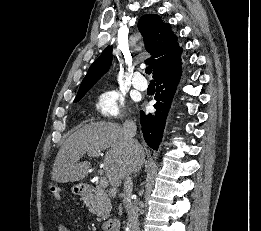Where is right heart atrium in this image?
I'll return each instance as SVG.
<instances>
[{
    "label": "right heart atrium",
    "instance_id": "obj_1",
    "mask_svg": "<svg viewBox=\"0 0 261 231\" xmlns=\"http://www.w3.org/2000/svg\"><path fill=\"white\" fill-rule=\"evenodd\" d=\"M94 107L97 114L105 119L123 118L125 114V101L116 89L101 91L95 98Z\"/></svg>",
    "mask_w": 261,
    "mask_h": 231
}]
</instances>
